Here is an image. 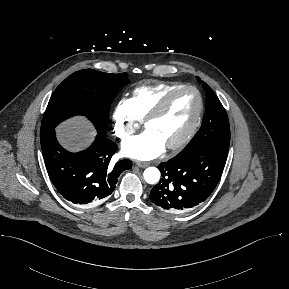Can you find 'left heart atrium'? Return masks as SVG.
I'll return each mask as SVG.
<instances>
[{
    "instance_id": "left-heart-atrium-1",
    "label": "left heart atrium",
    "mask_w": 289,
    "mask_h": 289,
    "mask_svg": "<svg viewBox=\"0 0 289 289\" xmlns=\"http://www.w3.org/2000/svg\"><path fill=\"white\" fill-rule=\"evenodd\" d=\"M164 149L165 145L149 130L122 143L123 154L139 160L153 159L159 156Z\"/></svg>"
}]
</instances>
